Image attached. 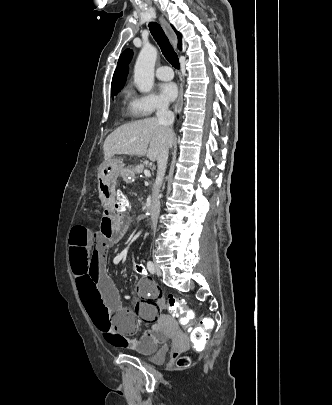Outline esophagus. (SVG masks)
Segmentation results:
<instances>
[{"mask_svg":"<svg viewBox=\"0 0 332 405\" xmlns=\"http://www.w3.org/2000/svg\"><path fill=\"white\" fill-rule=\"evenodd\" d=\"M160 21H161V24H162L165 32L167 33L168 37L170 38V40L173 43H176V36H175L174 32L172 31V29L170 28V26L167 24V22L163 18H161ZM181 108H182V100H181V96H179V98L176 102V105H175V109L177 112H180Z\"/></svg>","mask_w":332,"mask_h":405,"instance_id":"esophagus-1","label":"esophagus"}]
</instances>
